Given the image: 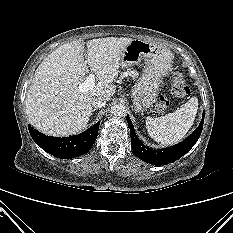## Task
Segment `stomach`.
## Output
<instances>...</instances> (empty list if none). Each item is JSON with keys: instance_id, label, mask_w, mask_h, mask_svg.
<instances>
[{"instance_id": "stomach-1", "label": "stomach", "mask_w": 233, "mask_h": 233, "mask_svg": "<svg viewBox=\"0 0 233 233\" xmlns=\"http://www.w3.org/2000/svg\"><path fill=\"white\" fill-rule=\"evenodd\" d=\"M142 58L147 61L146 66L131 94L137 112H143L156 103L161 79L169 71L173 56L161 45L133 39L121 54L120 66H132Z\"/></svg>"}]
</instances>
